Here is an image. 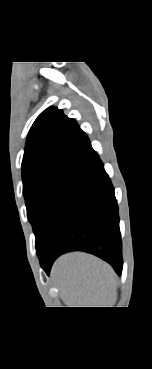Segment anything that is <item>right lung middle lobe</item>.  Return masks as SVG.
<instances>
[{"label":"right lung middle lobe","mask_w":152,"mask_h":369,"mask_svg":"<svg viewBox=\"0 0 152 369\" xmlns=\"http://www.w3.org/2000/svg\"><path fill=\"white\" fill-rule=\"evenodd\" d=\"M78 166L77 163H60L33 169L22 176L27 215L36 237V248L45 234L60 195Z\"/></svg>","instance_id":"right-lung-middle-lobe-1"}]
</instances>
